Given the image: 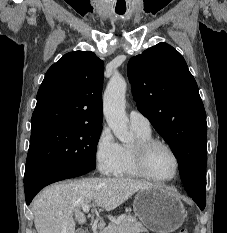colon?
I'll use <instances>...</instances> for the list:
<instances>
[{
    "mask_svg": "<svg viewBox=\"0 0 227 233\" xmlns=\"http://www.w3.org/2000/svg\"><path fill=\"white\" fill-rule=\"evenodd\" d=\"M176 233H189V232H188V229L186 228H180L179 230H177Z\"/></svg>",
    "mask_w": 227,
    "mask_h": 233,
    "instance_id": "5ec220e1",
    "label": "colon"
}]
</instances>
